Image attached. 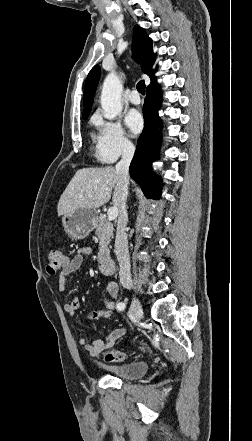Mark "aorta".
<instances>
[{
	"mask_svg": "<svg viewBox=\"0 0 252 441\" xmlns=\"http://www.w3.org/2000/svg\"><path fill=\"white\" fill-rule=\"evenodd\" d=\"M123 86L116 73H109L104 82L101 92V106L106 119L112 120L122 111L121 93Z\"/></svg>",
	"mask_w": 252,
	"mask_h": 441,
	"instance_id": "1",
	"label": "aorta"
}]
</instances>
